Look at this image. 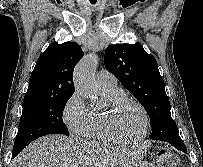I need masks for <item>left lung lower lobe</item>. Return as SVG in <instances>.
<instances>
[{"mask_svg": "<svg viewBox=\"0 0 203 167\" xmlns=\"http://www.w3.org/2000/svg\"><path fill=\"white\" fill-rule=\"evenodd\" d=\"M163 141L168 142L169 144L181 151L184 150V152H187V149L179 136L170 135L164 138Z\"/></svg>", "mask_w": 203, "mask_h": 167, "instance_id": "1", "label": "left lung lower lobe"}]
</instances>
